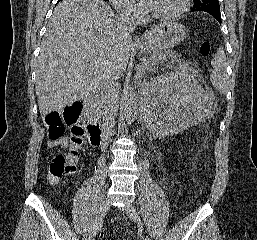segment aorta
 <instances>
[{"mask_svg": "<svg viewBox=\"0 0 257 240\" xmlns=\"http://www.w3.org/2000/svg\"><path fill=\"white\" fill-rule=\"evenodd\" d=\"M138 104L135 97L131 94V89H128L127 98L125 101V118L127 123L132 124L137 117Z\"/></svg>", "mask_w": 257, "mask_h": 240, "instance_id": "762f6f07", "label": "aorta"}]
</instances>
